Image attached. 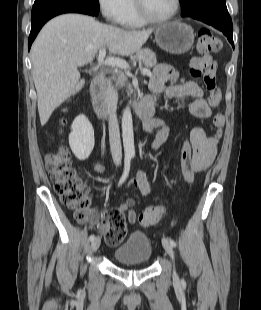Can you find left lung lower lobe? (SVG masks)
<instances>
[{
    "label": "left lung lower lobe",
    "mask_w": 261,
    "mask_h": 310,
    "mask_svg": "<svg viewBox=\"0 0 261 310\" xmlns=\"http://www.w3.org/2000/svg\"><path fill=\"white\" fill-rule=\"evenodd\" d=\"M191 18L202 21L222 31L234 48L232 20L228 13L226 3H219L203 13L191 16Z\"/></svg>",
    "instance_id": "1"
}]
</instances>
